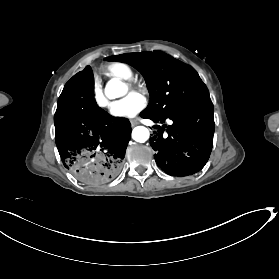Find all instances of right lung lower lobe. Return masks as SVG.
<instances>
[{"instance_id": "obj_1", "label": "right lung lower lobe", "mask_w": 279, "mask_h": 279, "mask_svg": "<svg viewBox=\"0 0 279 279\" xmlns=\"http://www.w3.org/2000/svg\"><path fill=\"white\" fill-rule=\"evenodd\" d=\"M92 83L90 66L66 83L54 123L64 167L85 184L101 185L114 180L121 171L131 124L98 107Z\"/></svg>"}]
</instances>
